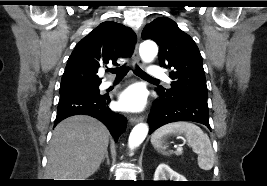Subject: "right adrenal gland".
<instances>
[{
	"instance_id": "right-adrenal-gland-1",
	"label": "right adrenal gland",
	"mask_w": 267,
	"mask_h": 186,
	"mask_svg": "<svg viewBox=\"0 0 267 186\" xmlns=\"http://www.w3.org/2000/svg\"><path fill=\"white\" fill-rule=\"evenodd\" d=\"M105 159H106L107 165H109L110 164V160H109V156H108V151L105 152V156L102 159V163L105 161Z\"/></svg>"
}]
</instances>
